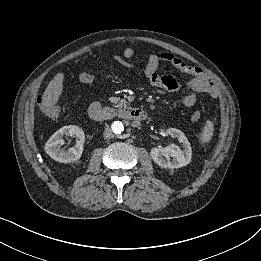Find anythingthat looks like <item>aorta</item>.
<instances>
[{
    "instance_id": "obj_1",
    "label": "aorta",
    "mask_w": 261,
    "mask_h": 261,
    "mask_svg": "<svg viewBox=\"0 0 261 261\" xmlns=\"http://www.w3.org/2000/svg\"><path fill=\"white\" fill-rule=\"evenodd\" d=\"M112 130L115 134H120L124 131V125L120 121H115L112 124Z\"/></svg>"
}]
</instances>
